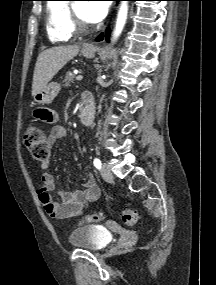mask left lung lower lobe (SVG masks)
Listing matches in <instances>:
<instances>
[{
	"mask_svg": "<svg viewBox=\"0 0 216 285\" xmlns=\"http://www.w3.org/2000/svg\"><path fill=\"white\" fill-rule=\"evenodd\" d=\"M115 1H121V0H115ZM129 1H135V0H129ZM109 34H110V29H108V30L106 31V39H107V40H108ZM103 38H104V35H103V33H101V34L96 38V41H101V40H103Z\"/></svg>",
	"mask_w": 216,
	"mask_h": 285,
	"instance_id": "1",
	"label": "left lung lower lobe"
}]
</instances>
